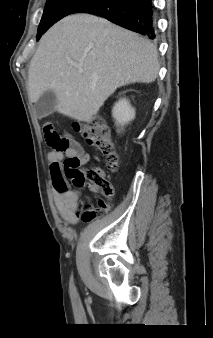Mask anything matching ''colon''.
<instances>
[{"mask_svg":"<svg viewBox=\"0 0 213 338\" xmlns=\"http://www.w3.org/2000/svg\"><path fill=\"white\" fill-rule=\"evenodd\" d=\"M77 126L87 144L98 150L105 157L107 167L114 171L118 166V156L113 140L102 120L94 119L89 122L77 123ZM69 148V139L62 137L57 150L64 152ZM51 179L55 188L66 187L71 183L77 188L87 187L93 193H98L106 198L114 196V186L105 178L103 169L99 166L83 169L79 159L75 156L63 158L62 164L53 162L51 164ZM108 209L109 205L101 201L97 207L88 209L83 218L88 221L93 220L103 215Z\"/></svg>","mask_w":213,"mask_h":338,"instance_id":"5ec220e1","label":"colon"}]
</instances>
